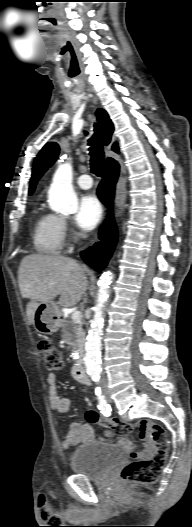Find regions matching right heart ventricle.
<instances>
[{
    "instance_id": "obj_1",
    "label": "right heart ventricle",
    "mask_w": 192,
    "mask_h": 527,
    "mask_svg": "<svg viewBox=\"0 0 192 527\" xmlns=\"http://www.w3.org/2000/svg\"><path fill=\"white\" fill-rule=\"evenodd\" d=\"M64 242V232L60 217L55 214L41 212L35 221L33 244L37 252L42 254H58Z\"/></svg>"
}]
</instances>
